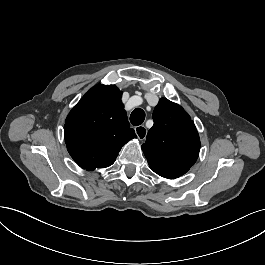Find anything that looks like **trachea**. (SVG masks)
<instances>
[{
	"mask_svg": "<svg viewBox=\"0 0 265 265\" xmlns=\"http://www.w3.org/2000/svg\"><path fill=\"white\" fill-rule=\"evenodd\" d=\"M144 120H145V112L140 108L135 109L130 115V122L134 126L142 124Z\"/></svg>",
	"mask_w": 265,
	"mask_h": 265,
	"instance_id": "trachea-1",
	"label": "trachea"
}]
</instances>
